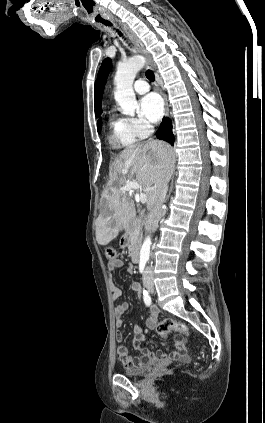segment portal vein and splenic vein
Segmentation results:
<instances>
[{"label": "portal vein and splenic vein", "instance_id": "1", "mask_svg": "<svg viewBox=\"0 0 265 423\" xmlns=\"http://www.w3.org/2000/svg\"><path fill=\"white\" fill-rule=\"evenodd\" d=\"M122 190H124V191L140 190V192L137 194V196H138V200H139L142 204H144V203H146V202H147V197H146L145 193H144V192H142V190H141V185H140L139 183H137V182H134V181H129V182H127V183H126V184L122 187Z\"/></svg>", "mask_w": 265, "mask_h": 423}]
</instances>
